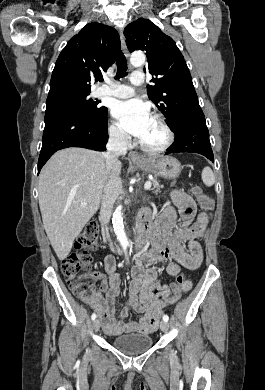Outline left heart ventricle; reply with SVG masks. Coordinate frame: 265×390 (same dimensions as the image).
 Segmentation results:
<instances>
[{
  "label": "left heart ventricle",
  "instance_id": "1",
  "mask_svg": "<svg viewBox=\"0 0 265 390\" xmlns=\"http://www.w3.org/2000/svg\"><path fill=\"white\" fill-rule=\"evenodd\" d=\"M165 139L164 131L161 126L152 118L151 123L144 134V136L140 139L144 144L156 147L159 146Z\"/></svg>",
  "mask_w": 265,
  "mask_h": 390
}]
</instances>
